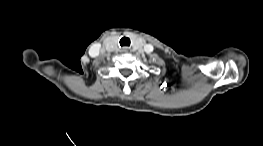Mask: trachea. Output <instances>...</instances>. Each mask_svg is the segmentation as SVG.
I'll use <instances>...</instances> for the list:
<instances>
[{
	"instance_id": "obj_1",
	"label": "trachea",
	"mask_w": 263,
	"mask_h": 146,
	"mask_svg": "<svg viewBox=\"0 0 263 146\" xmlns=\"http://www.w3.org/2000/svg\"><path fill=\"white\" fill-rule=\"evenodd\" d=\"M120 46H130V39L128 37H122L119 41Z\"/></svg>"
}]
</instances>
